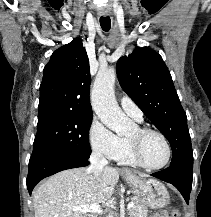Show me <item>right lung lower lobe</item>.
<instances>
[{
  "label": "right lung lower lobe",
  "instance_id": "1",
  "mask_svg": "<svg viewBox=\"0 0 211 217\" xmlns=\"http://www.w3.org/2000/svg\"><path fill=\"white\" fill-rule=\"evenodd\" d=\"M89 157H82L67 152L42 150L33 152L28 166L27 189L29 194L35 185L57 172L89 165Z\"/></svg>",
  "mask_w": 211,
  "mask_h": 217
}]
</instances>
